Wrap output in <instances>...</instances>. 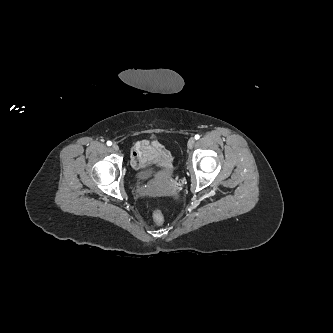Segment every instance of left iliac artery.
Listing matches in <instances>:
<instances>
[{
  "label": "left iliac artery",
  "instance_id": "left-iliac-artery-1",
  "mask_svg": "<svg viewBox=\"0 0 333 333\" xmlns=\"http://www.w3.org/2000/svg\"><path fill=\"white\" fill-rule=\"evenodd\" d=\"M200 136L198 134L195 135V139L198 140Z\"/></svg>",
  "mask_w": 333,
  "mask_h": 333
}]
</instances>
